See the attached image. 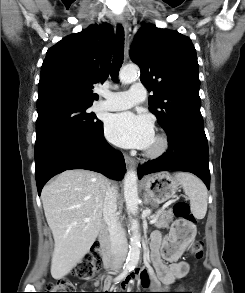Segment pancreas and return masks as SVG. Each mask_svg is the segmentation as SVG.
I'll return each mask as SVG.
<instances>
[{
  "label": "pancreas",
  "mask_w": 245,
  "mask_h": 293,
  "mask_svg": "<svg viewBox=\"0 0 245 293\" xmlns=\"http://www.w3.org/2000/svg\"><path fill=\"white\" fill-rule=\"evenodd\" d=\"M155 217H157V220L155 222V226L157 228H168L170 222H172L173 220V215L170 211L157 213Z\"/></svg>",
  "instance_id": "cf45deb5"
}]
</instances>
